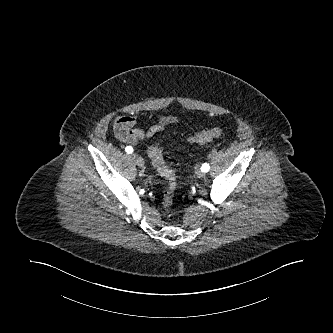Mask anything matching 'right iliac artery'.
Listing matches in <instances>:
<instances>
[{"label": "right iliac artery", "mask_w": 333, "mask_h": 333, "mask_svg": "<svg viewBox=\"0 0 333 333\" xmlns=\"http://www.w3.org/2000/svg\"><path fill=\"white\" fill-rule=\"evenodd\" d=\"M125 151L128 153V154H131L133 152V148L131 146H127L125 148Z\"/></svg>", "instance_id": "1"}]
</instances>
